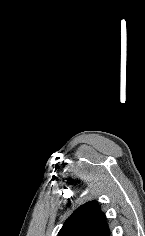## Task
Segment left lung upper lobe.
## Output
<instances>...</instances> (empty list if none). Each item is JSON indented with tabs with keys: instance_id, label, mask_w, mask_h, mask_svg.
<instances>
[{
	"instance_id": "obj_1",
	"label": "left lung upper lobe",
	"mask_w": 145,
	"mask_h": 236,
	"mask_svg": "<svg viewBox=\"0 0 145 236\" xmlns=\"http://www.w3.org/2000/svg\"><path fill=\"white\" fill-rule=\"evenodd\" d=\"M105 214L96 201L77 208L65 221L58 236H109Z\"/></svg>"
}]
</instances>
